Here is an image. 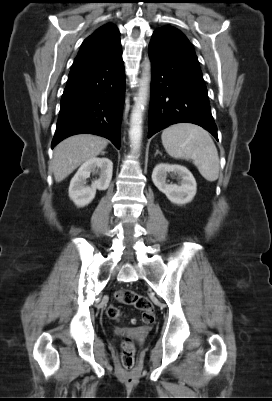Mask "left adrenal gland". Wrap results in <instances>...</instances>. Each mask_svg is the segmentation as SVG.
I'll return each mask as SVG.
<instances>
[{
    "instance_id": "obj_1",
    "label": "left adrenal gland",
    "mask_w": 272,
    "mask_h": 401,
    "mask_svg": "<svg viewBox=\"0 0 272 401\" xmlns=\"http://www.w3.org/2000/svg\"><path fill=\"white\" fill-rule=\"evenodd\" d=\"M158 154L162 155V153H161L159 150H156L155 157H156V155H158Z\"/></svg>"
}]
</instances>
